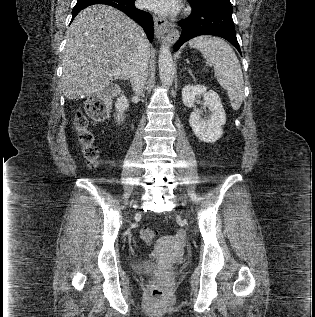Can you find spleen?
<instances>
[{
  "label": "spleen",
  "mask_w": 315,
  "mask_h": 317,
  "mask_svg": "<svg viewBox=\"0 0 315 317\" xmlns=\"http://www.w3.org/2000/svg\"><path fill=\"white\" fill-rule=\"evenodd\" d=\"M214 67L220 86L227 90L233 110H238L244 97V79L239 60L230 45L219 37L202 35L189 41Z\"/></svg>",
  "instance_id": "spleen-1"
}]
</instances>
